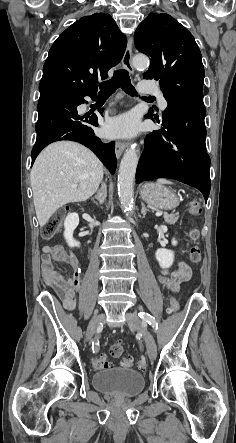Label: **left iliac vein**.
<instances>
[{
  "mask_svg": "<svg viewBox=\"0 0 236 443\" xmlns=\"http://www.w3.org/2000/svg\"><path fill=\"white\" fill-rule=\"evenodd\" d=\"M126 319L130 328L136 329L143 335L148 351V356L151 360H155L157 356V346L152 334L142 326V322L136 314L127 313Z\"/></svg>",
  "mask_w": 236,
  "mask_h": 443,
  "instance_id": "left-iliac-vein-1",
  "label": "left iliac vein"
}]
</instances>
